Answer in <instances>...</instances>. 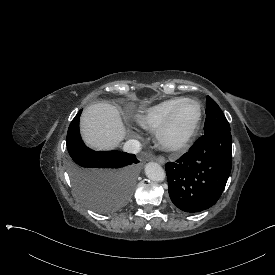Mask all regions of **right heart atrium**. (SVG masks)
I'll return each instance as SVG.
<instances>
[{
	"mask_svg": "<svg viewBox=\"0 0 275 275\" xmlns=\"http://www.w3.org/2000/svg\"><path fill=\"white\" fill-rule=\"evenodd\" d=\"M125 131H126V135H135L136 134L135 129L131 125H129L128 123L126 124Z\"/></svg>",
	"mask_w": 275,
	"mask_h": 275,
	"instance_id": "obj_1",
	"label": "right heart atrium"
}]
</instances>
